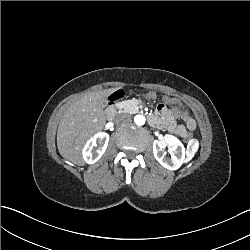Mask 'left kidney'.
<instances>
[{
	"label": "left kidney",
	"mask_w": 250,
	"mask_h": 250,
	"mask_svg": "<svg viewBox=\"0 0 250 250\" xmlns=\"http://www.w3.org/2000/svg\"><path fill=\"white\" fill-rule=\"evenodd\" d=\"M168 146L174 152L171 158L165 157L164 149ZM155 159L168 170H177L185 159V148L181 141L173 135L166 134L163 140H155L153 143Z\"/></svg>",
	"instance_id": "obj_1"
}]
</instances>
